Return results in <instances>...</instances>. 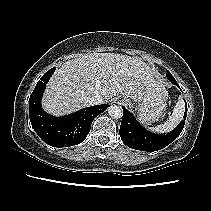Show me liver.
I'll list each match as a JSON object with an SVG mask.
<instances>
[{"label": "liver", "instance_id": "obj_1", "mask_svg": "<svg viewBox=\"0 0 211 211\" xmlns=\"http://www.w3.org/2000/svg\"><path fill=\"white\" fill-rule=\"evenodd\" d=\"M167 93L161 75L142 60L115 53H90L66 61L50 79L42 105L61 116L89 106L99 94L107 102L122 94L135 102Z\"/></svg>", "mask_w": 211, "mask_h": 211}]
</instances>
